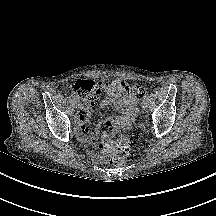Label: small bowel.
Here are the masks:
<instances>
[{
  "mask_svg": "<svg viewBox=\"0 0 216 216\" xmlns=\"http://www.w3.org/2000/svg\"><path fill=\"white\" fill-rule=\"evenodd\" d=\"M108 99L100 102L101 107H106L111 101L119 115L108 117L103 124L109 123L112 129L127 128L134 119L137 106L130 92V85L121 80L102 82L100 84ZM94 103L82 101L80 111L75 115L76 134L81 139H87L96 143L100 137L99 129H89L86 123L89 121Z\"/></svg>",
  "mask_w": 216,
  "mask_h": 216,
  "instance_id": "obj_1",
  "label": "small bowel"
}]
</instances>
